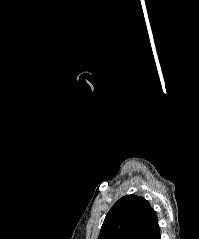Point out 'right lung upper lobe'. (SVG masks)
<instances>
[{"mask_svg": "<svg viewBox=\"0 0 199 239\" xmlns=\"http://www.w3.org/2000/svg\"><path fill=\"white\" fill-rule=\"evenodd\" d=\"M157 224L155 211L143 197L127 195L106 215L98 239H142Z\"/></svg>", "mask_w": 199, "mask_h": 239, "instance_id": "cb5924a9", "label": "right lung upper lobe"}]
</instances>
